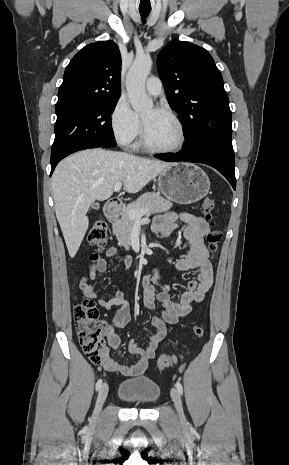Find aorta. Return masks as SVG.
Returning a JSON list of instances; mask_svg holds the SVG:
<instances>
[{"instance_id":"aorta-1","label":"aorta","mask_w":289,"mask_h":465,"mask_svg":"<svg viewBox=\"0 0 289 465\" xmlns=\"http://www.w3.org/2000/svg\"><path fill=\"white\" fill-rule=\"evenodd\" d=\"M152 67L149 56L137 57L131 65L126 77V89L133 109L143 112L153 106L152 100L147 96L145 81Z\"/></svg>"}]
</instances>
